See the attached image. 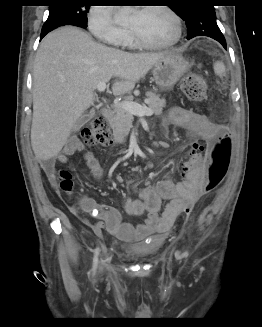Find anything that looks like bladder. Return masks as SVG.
Instances as JSON below:
<instances>
[{"mask_svg": "<svg viewBox=\"0 0 262 327\" xmlns=\"http://www.w3.org/2000/svg\"><path fill=\"white\" fill-rule=\"evenodd\" d=\"M164 241L160 244L154 246L153 243H135L127 246L126 250L130 252L133 256L139 259H146L153 255L161 246H163Z\"/></svg>", "mask_w": 262, "mask_h": 327, "instance_id": "1", "label": "bladder"}]
</instances>
